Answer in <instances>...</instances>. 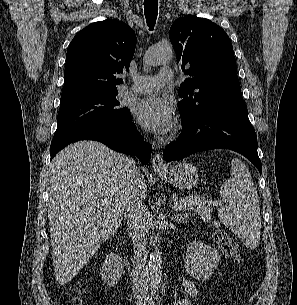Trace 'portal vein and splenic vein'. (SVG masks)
<instances>
[{
	"mask_svg": "<svg viewBox=\"0 0 297 305\" xmlns=\"http://www.w3.org/2000/svg\"><path fill=\"white\" fill-rule=\"evenodd\" d=\"M186 199H187V201L181 200L180 202L175 203L174 207H175L176 209H181L182 206L185 205L186 203H189V204H192V203H193L192 198L189 197V198H186Z\"/></svg>",
	"mask_w": 297,
	"mask_h": 305,
	"instance_id": "obj_1",
	"label": "portal vein and splenic vein"
}]
</instances>
